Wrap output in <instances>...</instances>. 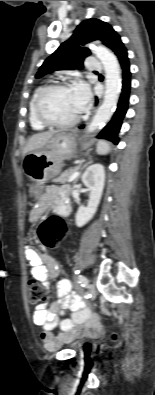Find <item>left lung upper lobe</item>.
<instances>
[{
  "label": "left lung upper lobe",
  "mask_w": 155,
  "mask_h": 395,
  "mask_svg": "<svg viewBox=\"0 0 155 395\" xmlns=\"http://www.w3.org/2000/svg\"><path fill=\"white\" fill-rule=\"evenodd\" d=\"M100 40L113 50L118 60L127 55V49L119 34L106 22L91 18L81 22L71 38L49 56L39 68L36 78L56 70L82 69L84 59L90 55V50L84 45Z\"/></svg>",
  "instance_id": "left-lung-upper-lobe-1"
}]
</instances>
